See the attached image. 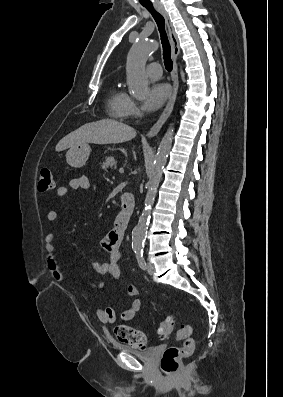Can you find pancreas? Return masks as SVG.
<instances>
[{
  "instance_id": "1",
  "label": "pancreas",
  "mask_w": 283,
  "mask_h": 397,
  "mask_svg": "<svg viewBox=\"0 0 283 397\" xmlns=\"http://www.w3.org/2000/svg\"><path fill=\"white\" fill-rule=\"evenodd\" d=\"M117 161L113 157H107L105 162L101 164V168L108 171V169H112L113 167H116Z\"/></svg>"
}]
</instances>
